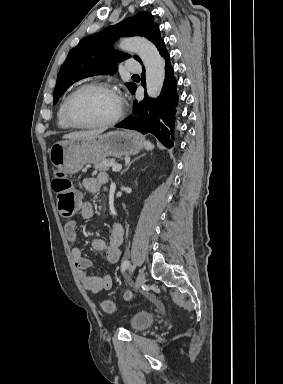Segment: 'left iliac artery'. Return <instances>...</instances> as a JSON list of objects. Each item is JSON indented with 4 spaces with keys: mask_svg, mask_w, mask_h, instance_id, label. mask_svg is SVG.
Segmentation results:
<instances>
[{
    "mask_svg": "<svg viewBox=\"0 0 283 384\" xmlns=\"http://www.w3.org/2000/svg\"><path fill=\"white\" fill-rule=\"evenodd\" d=\"M127 268L133 269L129 261H124L121 265V271L124 272Z\"/></svg>",
    "mask_w": 283,
    "mask_h": 384,
    "instance_id": "left-iliac-artery-1",
    "label": "left iliac artery"
}]
</instances>
